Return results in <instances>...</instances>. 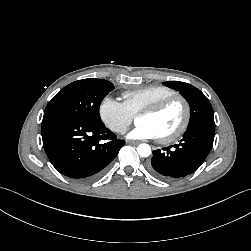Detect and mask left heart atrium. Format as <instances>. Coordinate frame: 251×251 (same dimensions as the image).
Masks as SVG:
<instances>
[{
    "label": "left heart atrium",
    "mask_w": 251,
    "mask_h": 251,
    "mask_svg": "<svg viewBox=\"0 0 251 251\" xmlns=\"http://www.w3.org/2000/svg\"><path fill=\"white\" fill-rule=\"evenodd\" d=\"M129 139L146 140L158 138L156 131L148 124L137 123V125L127 134Z\"/></svg>",
    "instance_id": "obj_1"
}]
</instances>
